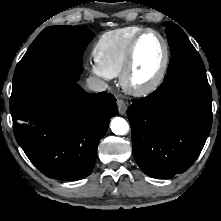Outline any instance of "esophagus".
<instances>
[{"instance_id":"34e87169","label":"esophagus","mask_w":221,"mask_h":221,"mask_svg":"<svg viewBox=\"0 0 221 221\" xmlns=\"http://www.w3.org/2000/svg\"><path fill=\"white\" fill-rule=\"evenodd\" d=\"M118 110L121 115H125L127 111V104L122 99L117 100Z\"/></svg>"}]
</instances>
